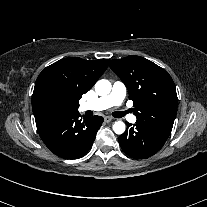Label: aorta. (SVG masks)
<instances>
[{"label": "aorta", "instance_id": "1", "mask_svg": "<svg viewBox=\"0 0 207 207\" xmlns=\"http://www.w3.org/2000/svg\"><path fill=\"white\" fill-rule=\"evenodd\" d=\"M111 83L106 80V79H102L96 82L95 84V91L98 95L100 96H106L111 92ZM113 131L116 134H122L125 131V123L122 121H116L113 124Z\"/></svg>", "mask_w": 207, "mask_h": 207}]
</instances>
